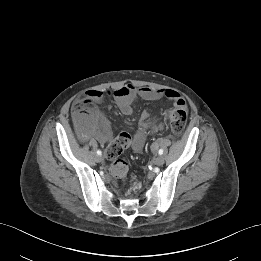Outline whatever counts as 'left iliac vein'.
<instances>
[{"mask_svg": "<svg viewBox=\"0 0 261 261\" xmlns=\"http://www.w3.org/2000/svg\"><path fill=\"white\" fill-rule=\"evenodd\" d=\"M154 164L156 166H162L164 164L163 156H161V155L156 156L155 159H154Z\"/></svg>", "mask_w": 261, "mask_h": 261, "instance_id": "4c4485c4", "label": "left iliac vein"}]
</instances>
